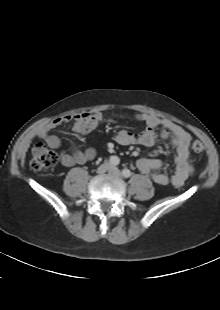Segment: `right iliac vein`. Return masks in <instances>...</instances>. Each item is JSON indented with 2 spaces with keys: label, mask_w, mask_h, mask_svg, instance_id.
<instances>
[{
  "label": "right iliac vein",
  "mask_w": 220,
  "mask_h": 310,
  "mask_svg": "<svg viewBox=\"0 0 220 310\" xmlns=\"http://www.w3.org/2000/svg\"><path fill=\"white\" fill-rule=\"evenodd\" d=\"M110 167H111V166H110L109 163H104V164H102V165H100V166L98 167L97 172H98L99 174H103V173L109 171V170H110Z\"/></svg>",
  "instance_id": "obj_1"
}]
</instances>
